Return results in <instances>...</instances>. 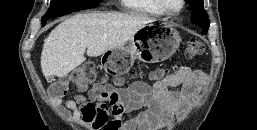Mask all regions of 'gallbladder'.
<instances>
[{
  "instance_id": "gallbladder-1",
  "label": "gallbladder",
  "mask_w": 257,
  "mask_h": 130,
  "mask_svg": "<svg viewBox=\"0 0 257 130\" xmlns=\"http://www.w3.org/2000/svg\"><path fill=\"white\" fill-rule=\"evenodd\" d=\"M49 80H50V81H52V80H53V78H52V77H49Z\"/></svg>"
}]
</instances>
